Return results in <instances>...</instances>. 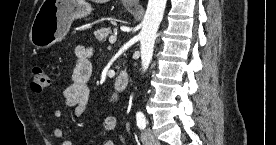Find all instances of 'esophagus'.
<instances>
[{"mask_svg":"<svg viewBox=\"0 0 276 145\" xmlns=\"http://www.w3.org/2000/svg\"><path fill=\"white\" fill-rule=\"evenodd\" d=\"M125 2L127 4H130V5H137L138 4V0H125Z\"/></svg>","mask_w":276,"mask_h":145,"instance_id":"obj_1","label":"esophagus"}]
</instances>
